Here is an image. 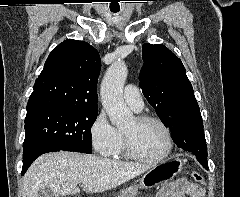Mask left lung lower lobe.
Returning <instances> with one entry per match:
<instances>
[{"instance_id":"1","label":"left lung lower lobe","mask_w":240,"mask_h":197,"mask_svg":"<svg viewBox=\"0 0 240 197\" xmlns=\"http://www.w3.org/2000/svg\"><path fill=\"white\" fill-rule=\"evenodd\" d=\"M173 138L178 147L184 150V147L190 143H200L205 140L203 126H199L198 123H194L188 127L180 128ZM197 159L205 169H209L207 158L197 156Z\"/></svg>"}]
</instances>
